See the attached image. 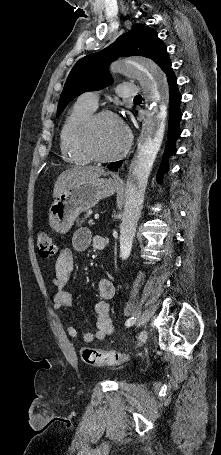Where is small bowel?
<instances>
[{
  "mask_svg": "<svg viewBox=\"0 0 221 455\" xmlns=\"http://www.w3.org/2000/svg\"><path fill=\"white\" fill-rule=\"evenodd\" d=\"M100 237L99 235L93 236L86 228H80L72 237L73 247H62L58 250L54 266L55 273L51 278V282L55 287L53 305L56 310L70 306L73 303V296L65 287L70 281L74 267V250L83 251L90 244L95 247V243ZM96 291L99 296L94 304L97 330L95 332H86L83 336L84 343L103 340L114 331V325L109 313V300L115 294L114 284L108 279H100L96 284ZM66 331L71 338L78 336L77 330L71 325L66 327Z\"/></svg>",
  "mask_w": 221,
  "mask_h": 455,
  "instance_id": "c3829d8e",
  "label": "small bowel"
}]
</instances>
